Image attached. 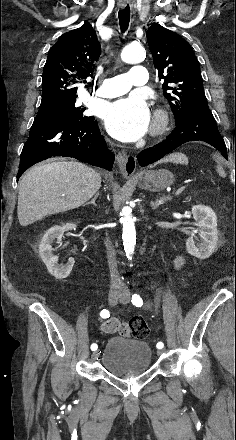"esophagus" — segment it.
Here are the masks:
<instances>
[{"label": "esophagus", "mask_w": 236, "mask_h": 440, "mask_svg": "<svg viewBox=\"0 0 236 440\" xmlns=\"http://www.w3.org/2000/svg\"><path fill=\"white\" fill-rule=\"evenodd\" d=\"M120 7H125L124 1L120 2ZM117 163L122 175L125 178H130L136 171V158L134 156H128L125 152H119L117 155Z\"/></svg>", "instance_id": "esophagus-1"}]
</instances>
